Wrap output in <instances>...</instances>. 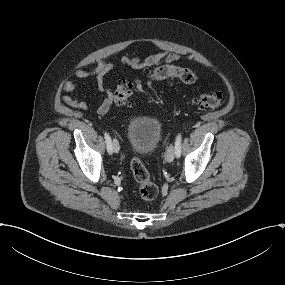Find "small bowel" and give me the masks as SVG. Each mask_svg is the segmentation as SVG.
<instances>
[{
	"mask_svg": "<svg viewBox=\"0 0 285 285\" xmlns=\"http://www.w3.org/2000/svg\"><path fill=\"white\" fill-rule=\"evenodd\" d=\"M180 55L175 52L166 50L151 53L145 58L140 56H123L120 60V65L123 70L127 69H150L162 64L177 61ZM115 66L114 61L102 58L99 59L94 68L88 70L83 67H78L75 71L79 79L93 78L95 80L97 89L103 94V99L97 107L99 115L106 114L114 103V92L107 84V76ZM62 89L65 92H73L76 89V84L73 81L66 80L62 83ZM63 102L76 109L88 110L89 105L76 96L63 95Z\"/></svg>",
	"mask_w": 285,
	"mask_h": 285,
	"instance_id": "c3829d8e",
	"label": "small bowel"
}]
</instances>
